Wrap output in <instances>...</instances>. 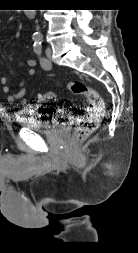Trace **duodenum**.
<instances>
[{
    "label": "duodenum",
    "mask_w": 138,
    "mask_h": 253,
    "mask_svg": "<svg viewBox=\"0 0 138 253\" xmlns=\"http://www.w3.org/2000/svg\"><path fill=\"white\" fill-rule=\"evenodd\" d=\"M26 16L30 19L35 18L36 16V12L34 9H28V11H26Z\"/></svg>",
    "instance_id": "duodenum-1"
}]
</instances>
